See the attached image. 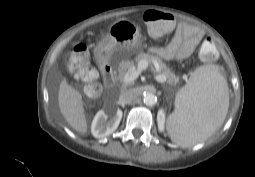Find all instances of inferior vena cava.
Masks as SVG:
<instances>
[{
    "mask_svg": "<svg viewBox=\"0 0 255 177\" xmlns=\"http://www.w3.org/2000/svg\"><path fill=\"white\" fill-rule=\"evenodd\" d=\"M138 96H139V92L136 89L126 90L123 93H121L119 97V102L121 104H130L135 99H137Z\"/></svg>",
    "mask_w": 255,
    "mask_h": 177,
    "instance_id": "inferior-vena-cava-1",
    "label": "inferior vena cava"
}]
</instances>
